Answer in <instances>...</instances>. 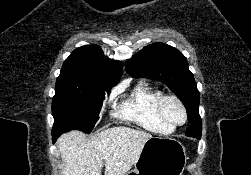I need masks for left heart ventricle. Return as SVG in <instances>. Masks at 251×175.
<instances>
[{"label": "left heart ventricle", "mask_w": 251, "mask_h": 175, "mask_svg": "<svg viewBox=\"0 0 251 175\" xmlns=\"http://www.w3.org/2000/svg\"><path fill=\"white\" fill-rule=\"evenodd\" d=\"M163 112L167 120L172 125L181 124L185 119V114L180 104L175 100L165 102Z\"/></svg>", "instance_id": "left-heart-ventricle-1"}]
</instances>
